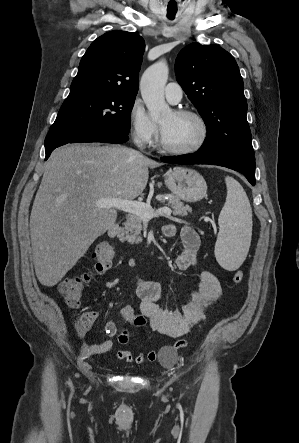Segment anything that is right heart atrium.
Segmentation results:
<instances>
[{
    "label": "right heart atrium",
    "mask_w": 299,
    "mask_h": 443,
    "mask_svg": "<svg viewBox=\"0 0 299 443\" xmlns=\"http://www.w3.org/2000/svg\"><path fill=\"white\" fill-rule=\"evenodd\" d=\"M128 120L134 142L140 147L151 145L157 136V127L139 100L132 103Z\"/></svg>",
    "instance_id": "obj_1"
}]
</instances>
